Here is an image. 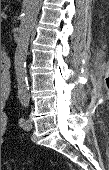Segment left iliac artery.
<instances>
[{"label":"left iliac artery","instance_id":"1","mask_svg":"<svg viewBox=\"0 0 109 170\" xmlns=\"http://www.w3.org/2000/svg\"><path fill=\"white\" fill-rule=\"evenodd\" d=\"M24 122H25L24 118H20V119H19V122H18V123H19V126L22 127L23 124H24Z\"/></svg>","mask_w":109,"mask_h":170}]
</instances>
